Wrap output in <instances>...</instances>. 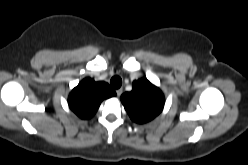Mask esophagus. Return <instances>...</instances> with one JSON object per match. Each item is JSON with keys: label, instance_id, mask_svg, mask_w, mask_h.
I'll return each instance as SVG.
<instances>
[{"label": "esophagus", "instance_id": "obj_1", "mask_svg": "<svg viewBox=\"0 0 248 165\" xmlns=\"http://www.w3.org/2000/svg\"><path fill=\"white\" fill-rule=\"evenodd\" d=\"M123 90L122 88L116 90L117 97H120L122 94Z\"/></svg>", "mask_w": 248, "mask_h": 165}]
</instances>
